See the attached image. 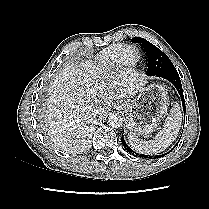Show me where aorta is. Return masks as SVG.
Masks as SVG:
<instances>
[{
  "instance_id": "aorta-1",
  "label": "aorta",
  "mask_w": 209,
  "mask_h": 209,
  "mask_svg": "<svg viewBox=\"0 0 209 209\" xmlns=\"http://www.w3.org/2000/svg\"><path fill=\"white\" fill-rule=\"evenodd\" d=\"M108 123L112 128H119L123 124V118L119 114H111Z\"/></svg>"
}]
</instances>
